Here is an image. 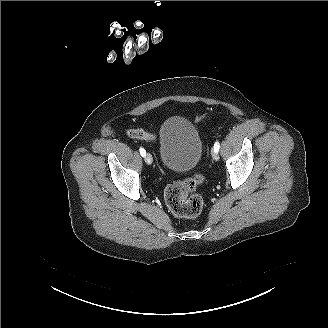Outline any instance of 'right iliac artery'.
<instances>
[{"mask_svg": "<svg viewBox=\"0 0 328 328\" xmlns=\"http://www.w3.org/2000/svg\"><path fill=\"white\" fill-rule=\"evenodd\" d=\"M140 154H141V156H145L146 155V151L144 150V148H140Z\"/></svg>", "mask_w": 328, "mask_h": 328, "instance_id": "82829eb1", "label": "right iliac artery"}]
</instances>
